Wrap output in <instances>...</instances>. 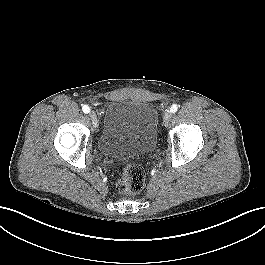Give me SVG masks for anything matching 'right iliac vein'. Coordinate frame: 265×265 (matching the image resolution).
Returning <instances> with one entry per match:
<instances>
[{
	"instance_id": "obj_1",
	"label": "right iliac vein",
	"mask_w": 265,
	"mask_h": 265,
	"mask_svg": "<svg viewBox=\"0 0 265 265\" xmlns=\"http://www.w3.org/2000/svg\"><path fill=\"white\" fill-rule=\"evenodd\" d=\"M89 116L92 120L93 127L96 128L98 126V119L96 113L94 111H91L89 113Z\"/></svg>"
}]
</instances>
